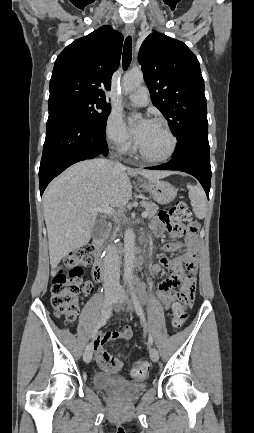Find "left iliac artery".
<instances>
[{
    "label": "left iliac artery",
    "instance_id": "1",
    "mask_svg": "<svg viewBox=\"0 0 254 433\" xmlns=\"http://www.w3.org/2000/svg\"><path fill=\"white\" fill-rule=\"evenodd\" d=\"M129 286H130L131 296H132V299H133V302H134L136 313L140 317V320H141L142 324L144 325L145 331L148 332V342L151 345H153V338H152V336H151V334L149 332L148 324L146 322L144 311H143V308L141 306V303H140L139 299L137 298L135 292L133 291L132 281L129 282Z\"/></svg>",
    "mask_w": 254,
    "mask_h": 433
}]
</instances>
